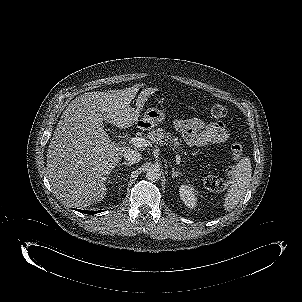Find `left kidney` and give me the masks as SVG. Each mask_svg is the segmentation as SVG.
Masks as SVG:
<instances>
[{"label": "left kidney", "instance_id": "obj_1", "mask_svg": "<svg viewBox=\"0 0 302 302\" xmlns=\"http://www.w3.org/2000/svg\"><path fill=\"white\" fill-rule=\"evenodd\" d=\"M180 198L188 208L196 207L195 189L191 185L182 184L179 188Z\"/></svg>", "mask_w": 302, "mask_h": 302}]
</instances>
